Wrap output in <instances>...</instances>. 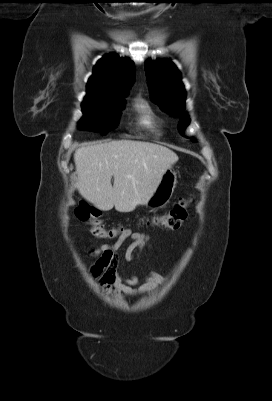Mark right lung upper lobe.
I'll list each match as a JSON object with an SVG mask.
<instances>
[{
    "instance_id": "1",
    "label": "right lung upper lobe",
    "mask_w": 272,
    "mask_h": 401,
    "mask_svg": "<svg viewBox=\"0 0 272 401\" xmlns=\"http://www.w3.org/2000/svg\"><path fill=\"white\" fill-rule=\"evenodd\" d=\"M134 63L114 53L105 54L94 66L85 99L105 94L127 93L134 81Z\"/></svg>"
}]
</instances>
